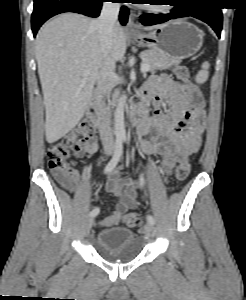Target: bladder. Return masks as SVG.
<instances>
[{
  "mask_svg": "<svg viewBox=\"0 0 246 300\" xmlns=\"http://www.w3.org/2000/svg\"><path fill=\"white\" fill-rule=\"evenodd\" d=\"M95 247L99 253L118 261H130L137 258L142 243L130 228L116 226L97 233Z\"/></svg>",
  "mask_w": 246,
  "mask_h": 300,
  "instance_id": "31cf9c89",
  "label": "bladder"
}]
</instances>
